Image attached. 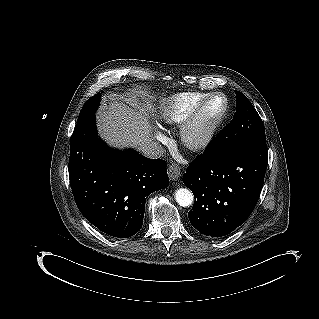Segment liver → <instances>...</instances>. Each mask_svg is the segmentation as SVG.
I'll return each mask as SVG.
<instances>
[{"mask_svg": "<svg viewBox=\"0 0 319 319\" xmlns=\"http://www.w3.org/2000/svg\"><path fill=\"white\" fill-rule=\"evenodd\" d=\"M147 109L135 101L128 106L111 97L108 106L103 105L98 112V131L111 146L139 149L153 140Z\"/></svg>", "mask_w": 319, "mask_h": 319, "instance_id": "1", "label": "liver"}]
</instances>
